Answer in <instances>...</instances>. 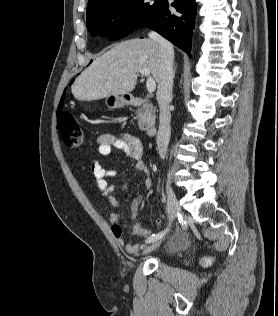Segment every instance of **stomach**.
<instances>
[{"label": "stomach", "instance_id": "obj_1", "mask_svg": "<svg viewBox=\"0 0 278 316\" xmlns=\"http://www.w3.org/2000/svg\"><path fill=\"white\" fill-rule=\"evenodd\" d=\"M106 104L110 109H115L127 104V100L124 97L111 95L106 98Z\"/></svg>", "mask_w": 278, "mask_h": 316}]
</instances>
